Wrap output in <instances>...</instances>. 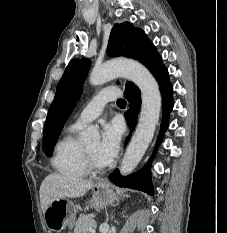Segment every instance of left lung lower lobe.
<instances>
[{
  "label": "left lung lower lobe",
  "mask_w": 227,
  "mask_h": 233,
  "mask_svg": "<svg viewBox=\"0 0 227 233\" xmlns=\"http://www.w3.org/2000/svg\"><path fill=\"white\" fill-rule=\"evenodd\" d=\"M159 89L163 98V118L161 122L160 134L157 139V144L161 141L164 131L168 126L169 113L173 109V87L169 81V74L166 67L161 69L155 76ZM125 98L130 102V109L126 112L125 116L130 126L131 131L135 128L138 111L141 106L140 90L136 87L129 89L124 93ZM130 136L127 137L125 144L129 141ZM109 179L120 187H128L136 190H141L149 195H153V187L150 178V171L148 164L144 166L139 172L122 177L118 170L110 174Z\"/></svg>",
  "instance_id": "obj_1"
}]
</instances>
